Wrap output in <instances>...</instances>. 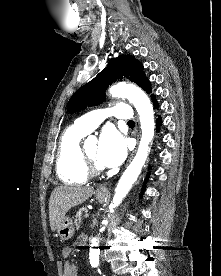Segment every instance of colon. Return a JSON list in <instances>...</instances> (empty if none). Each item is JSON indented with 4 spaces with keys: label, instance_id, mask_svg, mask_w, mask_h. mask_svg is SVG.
<instances>
[{
    "label": "colon",
    "instance_id": "colon-1",
    "mask_svg": "<svg viewBox=\"0 0 221 276\" xmlns=\"http://www.w3.org/2000/svg\"><path fill=\"white\" fill-rule=\"evenodd\" d=\"M54 247H65V242H54Z\"/></svg>",
    "mask_w": 221,
    "mask_h": 276
}]
</instances>
